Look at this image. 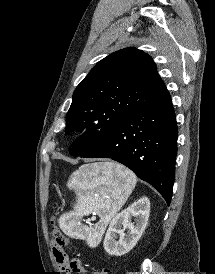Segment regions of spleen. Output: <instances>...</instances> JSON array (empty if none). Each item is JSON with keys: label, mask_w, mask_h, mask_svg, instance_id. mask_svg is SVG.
Returning a JSON list of instances; mask_svg holds the SVG:
<instances>
[{"label": "spleen", "mask_w": 215, "mask_h": 274, "mask_svg": "<svg viewBox=\"0 0 215 274\" xmlns=\"http://www.w3.org/2000/svg\"><path fill=\"white\" fill-rule=\"evenodd\" d=\"M136 182L134 173L119 164L105 162L81 166L67 183L77 195L75 211L60 217V228L71 237L87 239L90 244H95L126 202ZM90 211L99 215V223L94 227L79 226V218Z\"/></svg>", "instance_id": "1"}]
</instances>
